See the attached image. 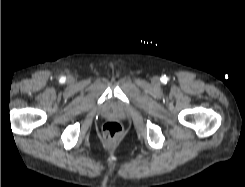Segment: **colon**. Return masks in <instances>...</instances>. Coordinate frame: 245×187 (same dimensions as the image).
Wrapping results in <instances>:
<instances>
[{"label":"colon","instance_id":"colon-1","mask_svg":"<svg viewBox=\"0 0 245 187\" xmlns=\"http://www.w3.org/2000/svg\"><path fill=\"white\" fill-rule=\"evenodd\" d=\"M122 131V127L118 122L109 121L103 126V133L108 139H115Z\"/></svg>","mask_w":245,"mask_h":187}]
</instances>
